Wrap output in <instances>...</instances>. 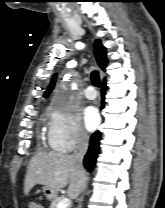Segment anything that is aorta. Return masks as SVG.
I'll use <instances>...</instances> for the list:
<instances>
[{
  "instance_id": "aorta-1",
  "label": "aorta",
  "mask_w": 165,
  "mask_h": 208,
  "mask_svg": "<svg viewBox=\"0 0 165 208\" xmlns=\"http://www.w3.org/2000/svg\"><path fill=\"white\" fill-rule=\"evenodd\" d=\"M76 88V86L75 85H73V89H75Z\"/></svg>"
}]
</instances>
